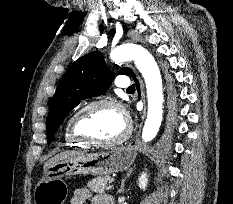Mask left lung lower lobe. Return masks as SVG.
Wrapping results in <instances>:
<instances>
[{
  "mask_svg": "<svg viewBox=\"0 0 233 204\" xmlns=\"http://www.w3.org/2000/svg\"><path fill=\"white\" fill-rule=\"evenodd\" d=\"M132 77L134 78L135 83H136V87L138 88V86H139V82H138V81H137V79L135 78V75H132Z\"/></svg>",
  "mask_w": 233,
  "mask_h": 204,
  "instance_id": "0a47b994",
  "label": "left lung lower lobe"
}]
</instances>
